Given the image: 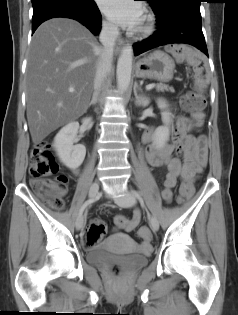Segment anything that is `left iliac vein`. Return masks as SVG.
<instances>
[{
    "mask_svg": "<svg viewBox=\"0 0 238 315\" xmlns=\"http://www.w3.org/2000/svg\"><path fill=\"white\" fill-rule=\"evenodd\" d=\"M114 200L119 206L122 207H130L135 203V197L128 192L123 193L121 196H115ZM150 227L154 231H158L159 229L158 219L154 215L150 217Z\"/></svg>",
    "mask_w": 238,
    "mask_h": 315,
    "instance_id": "left-iliac-vein-1",
    "label": "left iliac vein"
}]
</instances>
